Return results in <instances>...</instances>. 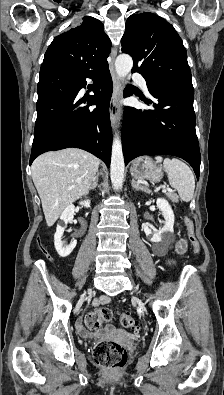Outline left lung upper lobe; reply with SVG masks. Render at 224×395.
Wrapping results in <instances>:
<instances>
[{"instance_id":"5c2ea615","label":"left lung upper lobe","mask_w":224,"mask_h":395,"mask_svg":"<svg viewBox=\"0 0 224 395\" xmlns=\"http://www.w3.org/2000/svg\"><path fill=\"white\" fill-rule=\"evenodd\" d=\"M122 52L134 61L148 86L169 84L193 88L186 49L165 19L153 13L132 14L121 40Z\"/></svg>"}]
</instances>
